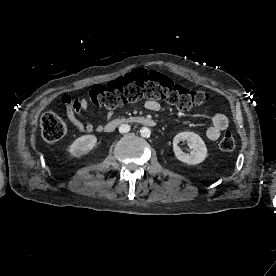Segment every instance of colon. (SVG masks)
<instances>
[{"instance_id":"obj_1","label":"colon","mask_w":276,"mask_h":276,"mask_svg":"<svg viewBox=\"0 0 276 276\" xmlns=\"http://www.w3.org/2000/svg\"><path fill=\"white\" fill-rule=\"evenodd\" d=\"M90 101L98 106L113 108L139 99H161L180 109L206 103L209 95L176 84L168 76L140 68L127 76L108 83L96 85L88 92ZM42 136L47 142H56L66 134L65 122L54 113H45L40 121ZM235 137L231 131L222 136L219 146L224 152L235 148Z\"/></svg>"}]
</instances>
